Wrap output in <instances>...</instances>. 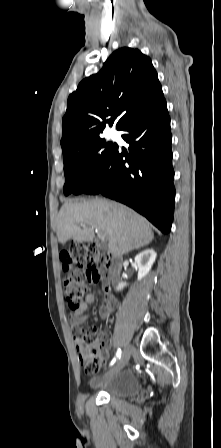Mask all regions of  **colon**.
I'll list each match as a JSON object with an SVG mask.
<instances>
[{
	"instance_id": "obj_1",
	"label": "colon",
	"mask_w": 221,
	"mask_h": 448,
	"mask_svg": "<svg viewBox=\"0 0 221 448\" xmlns=\"http://www.w3.org/2000/svg\"><path fill=\"white\" fill-rule=\"evenodd\" d=\"M60 260L65 273L66 304L70 309L75 310L84 301L88 287L101 283L107 277L106 265L109 255L100 251L96 245L75 244L61 252ZM79 338L91 350V358L84 363L85 372L94 373L100 369L105 360L101 350L108 344L109 338L99 337L94 325L84 330Z\"/></svg>"
}]
</instances>
